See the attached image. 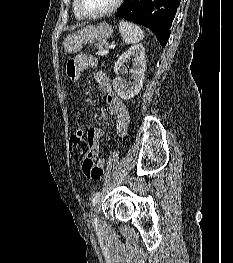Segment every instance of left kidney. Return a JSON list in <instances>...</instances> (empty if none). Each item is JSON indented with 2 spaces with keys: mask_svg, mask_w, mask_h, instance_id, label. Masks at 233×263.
<instances>
[{
  "mask_svg": "<svg viewBox=\"0 0 233 263\" xmlns=\"http://www.w3.org/2000/svg\"><path fill=\"white\" fill-rule=\"evenodd\" d=\"M131 57H133V66L130 69V73L133 75L134 82L129 87L118 75L125 71L124 63L130 60ZM145 68V49L142 44L130 47L118 58L114 65V72L117 76L113 81V88L121 99L129 100L141 91L145 79Z\"/></svg>",
  "mask_w": 233,
  "mask_h": 263,
  "instance_id": "left-kidney-1",
  "label": "left kidney"
}]
</instances>
